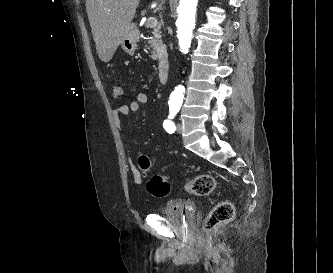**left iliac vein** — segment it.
I'll list each match as a JSON object with an SVG mask.
<instances>
[{"mask_svg":"<svg viewBox=\"0 0 333 273\" xmlns=\"http://www.w3.org/2000/svg\"><path fill=\"white\" fill-rule=\"evenodd\" d=\"M176 130H177L178 133H182L183 126H182L181 123H178V124L176 125Z\"/></svg>","mask_w":333,"mask_h":273,"instance_id":"left-iliac-vein-1","label":"left iliac vein"}]
</instances>
